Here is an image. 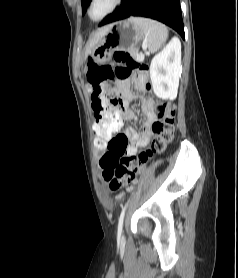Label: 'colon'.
<instances>
[{
    "mask_svg": "<svg viewBox=\"0 0 238 278\" xmlns=\"http://www.w3.org/2000/svg\"><path fill=\"white\" fill-rule=\"evenodd\" d=\"M116 69L111 65H99L90 60L87 66V80L92 86V107L98 124H92V135H98L93 142L95 149H105L100 159L102 175L111 191H116L132 182L142 166L155 154L164 151L174 135L175 107L169 102L159 101L154 109L158 120L152 125L153 136L150 147L138 155L129 156L125 149L129 144H109L105 137L117 135L122 126V104L116 88V77L121 80L136 72V78L144 81L147 91H151V83L147 79L148 66L138 64L127 52L114 53ZM109 148V149H108ZM121 198V196H120Z\"/></svg>",
    "mask_w": 238,
    "mask_h": 278,
    "instance_id": "obj_1",
    "label": "colon"
}]
</instances>
